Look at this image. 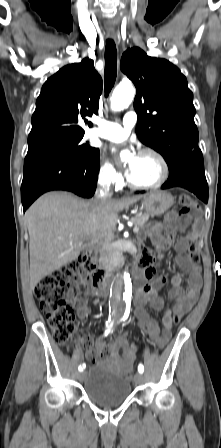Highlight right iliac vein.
Segmentation results:
<instances>
[{
    "label": "right iliac vein",
    "instance_id": "right-iliac-vein-1",
    "mask_svg": "<svg viewBox=\"0 0 221 448\" xmlns=\"http://www.w3.org/2000/svg\"><path fill=\"white\" fill-rule=\"evenodd\" d=\"M84 376H85V371H81V372L78 374V378H79V380H80V381L83 380Z\"/></svg>",
    "mask_w": 221,
    "mask_h": 448
}]
</instances>
